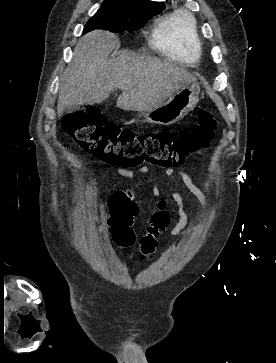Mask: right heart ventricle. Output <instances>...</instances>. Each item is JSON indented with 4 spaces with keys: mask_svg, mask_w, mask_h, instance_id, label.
Returning <instances> with one entry per match:
<instances>
[{
    "mask_svg": "<svg viewBox=\"0 0 276 363\" xmlns=\"http://www.w3.org/2000/svg\"><path fill=\"white\" fill-rule=\"evenodd\" d=\"M151 43L160 54L179 62L195 63L200 56L195 20L186 12H175L160 19Z\"/></svg>",
    "mask_w": 276,
    "mask_h": 363,
    "instance_id": "obj_1",
    "label": "right heart ventricle"
}]
</instances>
